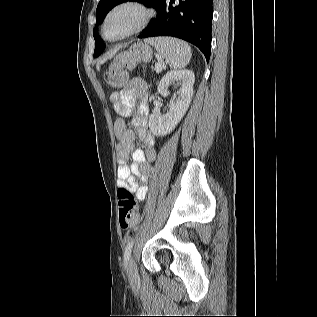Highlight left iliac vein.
<instances>
[{
    "label": "left iliac vein",
    "mask_w": 317,
    "mask_h": 317,
    "mask_svg": "<svg viewBox=\"0 0 317 317\" xmlns=\"http://www.w3.org/2000/svg\"><path fill=\"white\" fill-rule=\"evenodd\" d=\"M127 272L130 279L135 280L138 277L137 267L133 256H130L127 262Z\"/></svg>",
    "instance_id": "left-iliac-vein-1"
}]
</instances>
